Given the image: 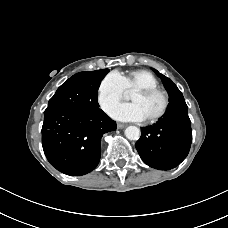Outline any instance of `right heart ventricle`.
<instances>
[{"instance_id":"e07e8e85","label":"right heart ventricle","mask_w":228,"mask_h":228,"mask_svg":"<svg viewBox=\"0 0 228 228\" xmlns=\"http://www.w3.org/2000/svg\"><path fill=\"white\" fill-rule=\"evenodd\" d=\"M119 75L126 91H135L136 89L143 87H158V80L147 70L136 69Z\"/></svg>"}]
</instances>
